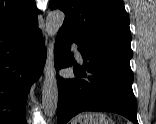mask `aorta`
I'll list each match as a JSON object with an SVG mask.
<instances>
[{
    "label": "aorta",
    "mask_w": 156,
    "mask_h": 124,
    "mask_svg": "<svg viewBox=\"0 0 156 124\" xmlns=\"http://www.w3.org/2000/svg\"><path fill=\"white\" fill-rule=\"evenodd\" d=\"M65 15L60 10H54L48 13L46 17L45 32L48 37L54 38L59 29L63 25ZM58 104V86L52 65L49 59L47 72L45 75L43 88H42V108L45 115L53 117L57 110Z\"/></svg>",
    "instance_id": "1"
}]
</instances>
